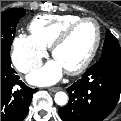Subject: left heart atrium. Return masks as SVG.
<instances>
[{
	"mask_svg": "<svg viewBox=\"0 0 121 121\" xmlns=\"http://www.w3.org/2000/svg\"><path fill=\"white\" fill-rule=\"evenodd\" d=\"M64 69L54 59L28 77L30 83L35 85H50L56 83L62 76Z\"/></svg>",
	"mask_w": 121,
	"mask_h": 121,
	"instance_id": "left-heart-atrium-1",
	"label": "left heart atrium"
}]
</instances>
